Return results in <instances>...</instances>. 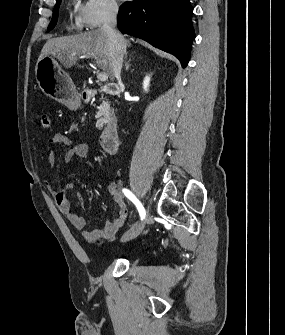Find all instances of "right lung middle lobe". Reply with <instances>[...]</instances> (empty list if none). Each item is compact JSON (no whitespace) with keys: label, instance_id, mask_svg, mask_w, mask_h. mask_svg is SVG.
<instances>
[{"label":"right lung middle lobe","instance_id":"obj_1","mask_svg":"<svg viewBox=\"0 0 285 335\" xmlns=\"http://www.w3.org/2000/svg\"><path fill=\"white\" fill-rule=\"evenodd\" d=\"M59 5H60V3L56 4V6H55L54 14H53L52 20L49 24L48 30L53 29L55 27L56 23H57Z\"/></svg>","mask_w":285,"mask_h":335}]
</instances>
